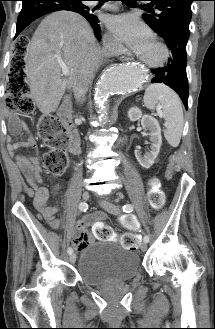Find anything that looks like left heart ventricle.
<instances>
[{
    "mask_svg": "<svg viewBox=\"0 0 215 329\" xmlns=\"http://www.w3.org/2000/svg\"><path fill=\"white\" fill-rule=\"evenodd\" d=\"M140 55L147 60H155L159 57L160 52L152 43L146 50L141 52Z\"/></svg>",
    "mask_w": 215,
    "mask_h": 329,
    "instance_id": "left-heart-ventricle-1",
    "label": "left heart ventricle"
}]
</instances>
